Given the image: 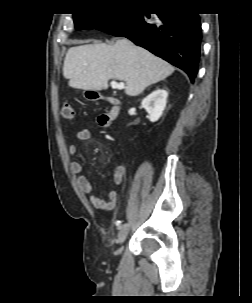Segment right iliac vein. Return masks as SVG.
Here are the masks:
<instances>
[{
    "label": "right iliac vein",
    "instance_id": "obj_1",
    "mask_svg": "<svg viewBox=\"0 0 252 303\" xmlns=\"http://www.w3.org/2000/svg\"><path fill=\"white\" fill-rule=\"evenodd\" d=\"M129 228H130V226H129L128 223H125V224L121 225L120 231H119V234H118L119 244H122L126 240V238L128 236V233H129Z\"/></svg>",
    "mask_w": 252,
    "mask_h": 303
}]
</instances>
